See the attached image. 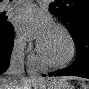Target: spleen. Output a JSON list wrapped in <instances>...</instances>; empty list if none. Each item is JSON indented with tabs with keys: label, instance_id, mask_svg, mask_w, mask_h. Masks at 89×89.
<instances>
[{
	"label": "spleen",
	"instance_id": "spleen-1",
	"mask_svg": "<svg viewBox=\"0 0 89 89\" xmlns=\"http://www.w3.org/2000/svg\"><path fill=\"white\" fill-rule=\"evenodd\" d=\"M84 89H87V87H86V86H84Z\"/></svg>",
	"mask_w": 89,
	"mask_h": 89
}]
</instances>
